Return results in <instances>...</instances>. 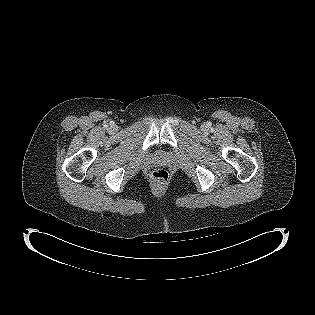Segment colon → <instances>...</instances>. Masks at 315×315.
<instances>
[{"mask_svg":"<svg viewBox=\"0 0 315 315\" xmlns=\"http://www.w3.org/2000/svg\"><path fill=\"white\" fill-rule=\"evenodd\" d=\"M151 180L155 184H165L169 180V173L165 169H156L151 173Z\"/></svg>","mask_w":315,"mask_h":315,"instance_id":"colon-1","label":"colon"}]
</instances>
